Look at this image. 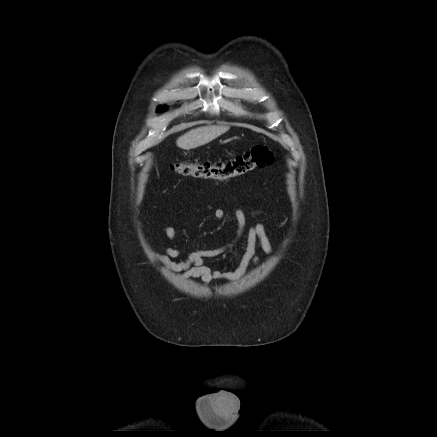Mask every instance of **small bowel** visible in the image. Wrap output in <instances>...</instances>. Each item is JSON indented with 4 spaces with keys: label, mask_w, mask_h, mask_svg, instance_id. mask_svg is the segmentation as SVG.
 I'll return each instance as SVG.
<instances>
[{
    "label": "small bowel",
    "mask_w": 437,
    "mask_h": 437,
    "mask_svg": "<svg viewBox=\"0 0 437 437\" xmlns=\"http://www.w3.org/2000/svg\"><path fill=\"white\" fill-rule=\"evenodd\" d=\"M256 211L255 214H260ZM236 220V234L231 242L215 249H200L193 250L185 259L175 260L182 255V250L175 247H163L162 252L155 253V258L162 263L168 270L177 274L180 279H200L204 285L212 281H237L244 276L248 266L259 262V257L256 256V248L259 246L266 254H271L273 251L272 244L266 234V229L263 223L258 222L252 225L247 230L246 246L243 255L241 256L238 267L232 271H222L211 268L206 260L222 255L229 248L236 245L245 233L246 216L245 213L236 208L234 210ZM214 218L221 221L225 218L223 209L218 208L214 211ZM165 236L174 240L177 236L176 230L172 226L164 228Z\"/></svg>",
    "instance_id": "c3829d8e"
}]
</instances>
